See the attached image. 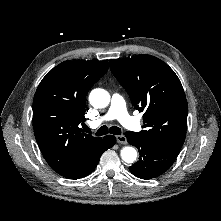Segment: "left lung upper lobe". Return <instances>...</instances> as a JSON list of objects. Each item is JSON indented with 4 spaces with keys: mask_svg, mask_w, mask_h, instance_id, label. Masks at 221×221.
I'll return each instance as SVG.
<instances>
[{
    "mask_svg": "<svg viewBox=\"0 0 221 221\" xmlns=\"http://www.w3.org/2000/svg\"><path fill=\"white\" fill-rule=\"evenodd\" d=\"M110 69L127 91L135 109L145 112V129L137 134L180 149L186 136L188 104L174 71L160 59L147 54L111 59Z\"/></svg>",
    "mask_w": 221,
    "mask_h": 221,
    "instance_id": "obj_1",
    "label": "left lung upper lobe"
}]
</instances>
